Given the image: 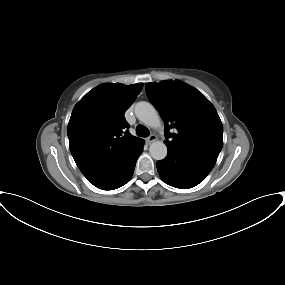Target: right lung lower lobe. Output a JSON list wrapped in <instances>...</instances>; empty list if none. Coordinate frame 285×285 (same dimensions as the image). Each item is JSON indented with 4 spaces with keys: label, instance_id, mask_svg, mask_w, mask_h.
<instances>
[{
    "label": "right lung lower lobe",
    "instance_id": "1",
    "mask_svg": "<svg viewBox=\"0 0 285 285\" xmlns=\"http://www.w3.org/2000/svg\"><path fill=\"white\" fill-rule=\"evenodd\" d=\"M143 140L121 155L116 161L87 179L97 188L114 190L125 185L131 178L136 161L143 151Z\"/></svg>",
    "mask_w": 285,
    "mask_h": 285
}]
</instances>
